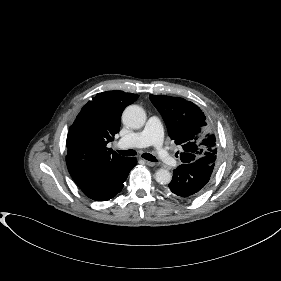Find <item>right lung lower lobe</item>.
<instances>
[{"label": "right lung lower lobe", "mask_w": 281, "mask_h": 281, "mask_svg": "<svg viewBox=\"0 0 281 281\" xmlns=\"http://www.w3.org/2000/svg\"><path fill=\"white\" fill-rule=\"evenodd\" d=\"M136 164L135 157L126 158L101 184L84 193L95 201L110 200L122 190L129 172Z\"/></svg>", "instance_id": "obj_1"}]
</instances>
